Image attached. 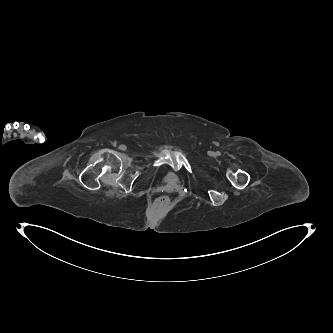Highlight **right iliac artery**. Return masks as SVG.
Masks as SVG:
<instances>
[{
    "instance_id": "82829eb1",
    "label": "right iliac artery",
    "mask_w": 333,
    "mask_h": 333,
    "mask_svg": "<svg viewBox=\"0 0 333 333\" xmlns=\"http://www.w3.org/2000/svg\"><path fill=\"white\" fill-rule=\"evenodd\" d=\"M119 149L122 150V151H125L126 150V146L125 145H120Z\"/></svg>"
}]
</instances>
